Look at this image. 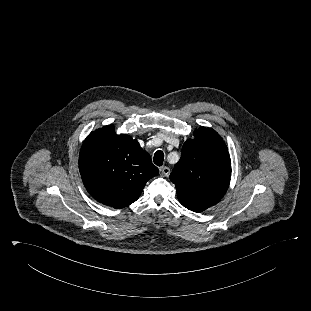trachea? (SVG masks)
<instances>
[{
	"instance_id": "3493384b",
	"label": "trachea",
	"mask_w": 311,
	"mask_h": 311,
	"mask_svg": "<svg viewBox=\"0 0 311 311\" xmlns=\"http://www.w3.org/2000/svg\"><path fill=\"white\" fill-rule=\"evenodd\" d=\"M153 161L157 166H162L164 161V153L161 150L156 151Z\"/></svg>"
}]
</instances>
